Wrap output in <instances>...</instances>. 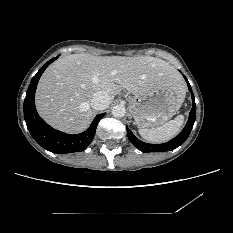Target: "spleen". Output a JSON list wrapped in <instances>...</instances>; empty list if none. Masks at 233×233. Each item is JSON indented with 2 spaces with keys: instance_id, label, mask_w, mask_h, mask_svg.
<instances>
[{
  "instance_id": "1",
  "label": "spleen",
  "mask_w": 233,
  "mask_h": 233,
  "mask_svg": "<svg viewBox=\"0 0 233 233\" xmlns=\"http://www.w3.org/2000/svg\"><path fill=\"white\" fill-rule=\"evenodd\" d=\"M184 122V116L178 115L173 120L152 129L140 128V136L151 143L166 142L175 137L179 132Z\"/></svg>"
}]
</instances>
